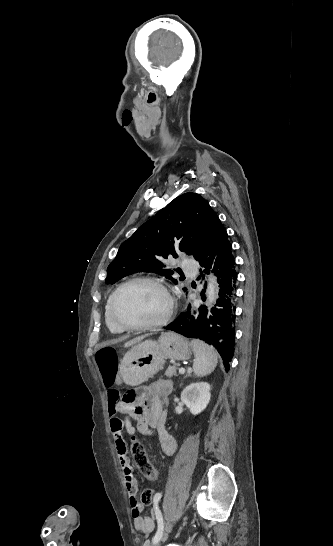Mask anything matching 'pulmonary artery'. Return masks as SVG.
I'll return each instance as SVG.
<instances>
[{
  "label": "pulmonary artery",
  "instance_id": "pulmonary-artery-1",
  "mask_svg": "<svg viewBox=\"0 0 333 546\" xmlns=\"http://www.w3.org/2000/svg\"><path fill=\"white\" fill-rule=\"evenodd\" d=\"M181 264L186 271L191 270L194 266V262L187 258L183 259Z\"/></svg>",
  "mask_w": 333,
  "mask_h": 546
}]
</instances>
